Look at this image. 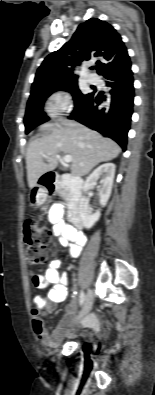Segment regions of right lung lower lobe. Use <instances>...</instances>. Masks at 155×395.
Returning a JSON list of instances; mask_svg holds the SVG:
<instances>
[{"instance_id": "obj_1", "label": "right lung lower lobe", "mask_w": 155, "mask_h": 395, "mask_svg": "<svg viewBox=\"0 0 155 395\" xmlns=\"http://www.w3.org/2000/svg\"><path fill=\"white\" fill-rule=\"evenodd\" d=\"M103 77L111 90L92 92L75 104L69 116L115 140L125 151L134 101V78L131 64L105 72ZM103 102H106L103 104Z\"/></svg>"}]
</instances>
